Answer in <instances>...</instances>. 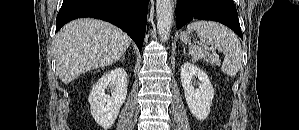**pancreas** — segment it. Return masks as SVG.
Here are the masks:
<instances>
[{
    "label": "pancreas",
    "mask_w": 299,
    "mask_h": 130,
    "mask_svg": "<svg viewBox=\"0 0 299 130\" xmlns=\"http://www.w3.org/2000/svg\"><path fill=\"white\" fill-rule=\"evenodd\" d=\"M211 65H218L220 63V59L217 56L211 57L209 60Z\"/></svg>",
    "instance_id": "cf45deb5"
}]
</instances>
